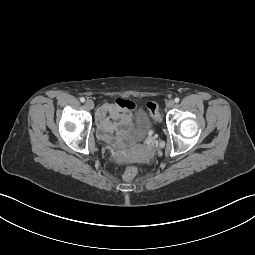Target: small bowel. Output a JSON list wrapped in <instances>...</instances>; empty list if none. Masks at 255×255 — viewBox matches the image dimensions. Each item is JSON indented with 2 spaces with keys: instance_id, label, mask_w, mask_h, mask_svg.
Segmentation results:
<instances>
[{
  "instance_id": "obj_1",
  "label": "small bowel",
  "mask_w": 255,
  "mask_h": 255,
  "mask_svg": "<svg viewBox=\"0 0 255 255\" xmlns=\"http://www.w3.org/2000/svg\"><path fill=\"white\" fill-rule=\"evenodd\" d=\"M134 109L135 103L130 100L105 101L96 114L100 137L107 141L114 140L132 125Z\"/></svg>"
}]
</instances>
